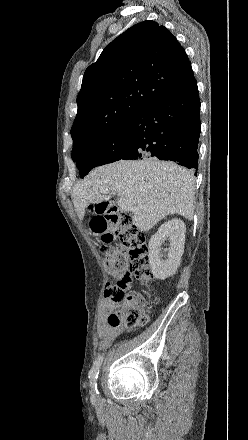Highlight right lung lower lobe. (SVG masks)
Returning a JSON list of instances; mask_svg holds the SVG:
<instances>
[{
  "label": "right lung lower lobe",
  "instance_id": "1",
  "mask_svg": "<svg viewBox=\"0 0 248 440\" xmlns=\"http://www.w3.org/2000/svg\"><path fill=\"white\" fill-rule=\"evenodd\" d=\"M199 112L197 84L153 101L128 122L130 141L120 159L157 157L197 170Z\"/></svg>",
  "mask_w": 248,
  "mask_h": 440
}]
</instances>
